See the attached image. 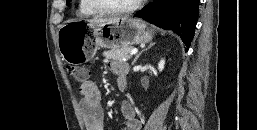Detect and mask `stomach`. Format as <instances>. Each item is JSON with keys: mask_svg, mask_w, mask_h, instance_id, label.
I'll return each mask as SVG.
<instances>
[{"mask_svg": "<svg viewBox=\"0 0 257 130\" xmlns=\"http://www.w3.org/2000/svg\"><path fill=\"white\" fill-rule=\"evenodd\" d=\"M152 35L139 19L118 18L100 24L69 20L58 31V48L69 64L90 61L99 48L116 49L147 43Z\"/></svg>", "mask_w": 257, "mask_h": 130, "instance_id": "0dacf381", "label": "stomach"}]
</instances>
